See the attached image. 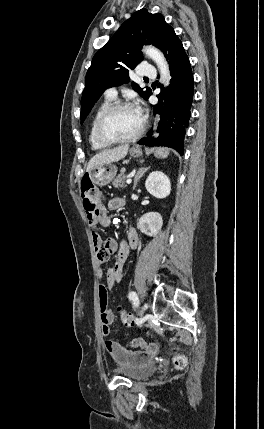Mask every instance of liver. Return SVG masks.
I'll list each match as a JSON object with an SVG mask.
<instances>
[{"mask_svg":"<svg viewBox=\"0 0 264 429\" xmlns=\"http://www.w3.org/2000/svg\"><path fill=\"white\" fill-rule=\"evenodd\" d=\"M129 145H122L110 150H104L92 157L87 165L86 171L89 172L95 166L117 162L127 155Z\"/></svg>","mask_w":264,"mask_h":429,"instance_id":"obj_1","label":"liver"}]
</instances>
